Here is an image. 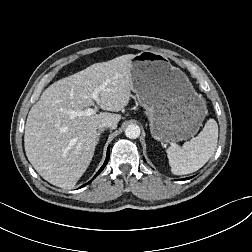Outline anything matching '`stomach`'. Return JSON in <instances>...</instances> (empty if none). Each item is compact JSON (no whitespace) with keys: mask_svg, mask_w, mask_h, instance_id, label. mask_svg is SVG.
Here are the masks:
<instances>
[{"mask_svg":"<svg viewBox=\"0 0 252 252\" xmlns=\"http://www.w3.org/2000/svg\"><path fill=\"white\" fill-rule=\"evenodd\" d=\"M130 83L150 121V132L160 142L193 137L207 114L204 99L187 76L167 56L153 51L132 55Z\"/></svg>","mask_w":252,"mask_h":252,"instance_id":"1","label":"stomach"}]
</instances>
